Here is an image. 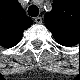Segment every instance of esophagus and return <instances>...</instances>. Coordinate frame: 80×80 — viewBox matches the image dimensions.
<instances>
[{
  "instance_id": "esophagus-1",
  "label": "esophagus",
  "mask_w": 80,
  "mask_h": 80,
  "mask_svg": "<svg viewBox=\"0 0 80 80\" xmlns=\"http://www.w3.org/2000/svg\"><path fill=\"white\" fill-rule=\"evenodd\" d=\"M34 21L37 23V24H41L42 23V18L41 17H36L34 19Z\"/></svg>"
}]
</instances>
